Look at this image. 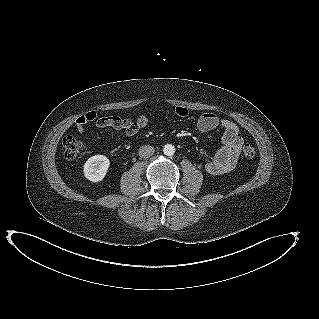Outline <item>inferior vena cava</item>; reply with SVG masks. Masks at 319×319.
<instances>
[{
    "instance_id": "inferior-vena-cava-1",
    "label": "inferior vena cava",
    "mask_w": 319,
    "mask_h": 319,
    "mask_svg": "<svg viewBox=\"0 0 319 319\" xmlns=\"http://www.w3.org/2000/svg\"><path fill=\"white\" fill-rule=\"evenodd\" d=\"M154 152H155L154 147L150 145H144L139 148V155L142 158H148L152 156Z\"/></svg>"
}]
</instances>
